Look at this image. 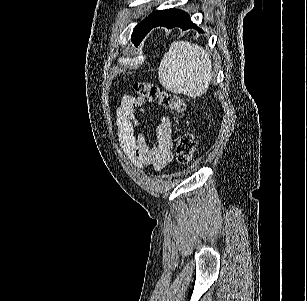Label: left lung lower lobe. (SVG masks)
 <instances>
[{"label": "left lung lower lobe", "instance_id": "1", "mask_svg": "<svg viewBox=\"0 0 307 301\" xmlns=\"http://www.w3.org/2000/svg\"><path fill=\"white\" fill-rule=\"evenodd\" d=\"M157 26H165L168 29L173 27H180L183 30L189 28H196V25L192 23L190 17L187 13L179 9H170L167 10L161 17L155 20L150 26V30ZM199 32H202L197 28ZM149 30V31H150Z\"/></svg>", "mask_w": 307, "mask_h": 301}]
</instances>
